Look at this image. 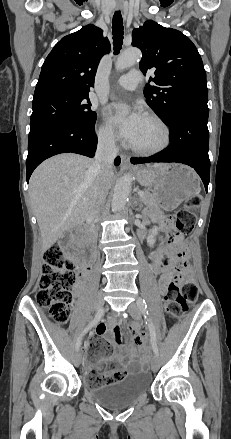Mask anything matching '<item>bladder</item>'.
I'll list each match as a JSON object with an SVG mask.
<instances>
[{
  "instance_id": "1",
  "label": "bladder",
  "mask_w": 231,
  "mask_h": 439,
  "mask_svg": "<svg viewBox=\"0 0 231 439\" xmlns=\"http://www.w3.org/2000/svg\"><path fill=\"white\" fill-rule=\"evenodd\" d=\"M152 383L151 375L146 370H135L127 374L117 384L90 386L92 397L107 408H123L136 402L147 393Z\"/></svg>"
}]
</instances>
